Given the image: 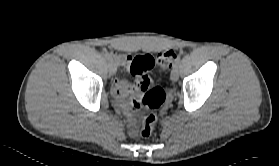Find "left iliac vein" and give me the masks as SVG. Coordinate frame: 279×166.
I'll use <instances>...</instances> for the list:
<instances>
[{
  "label": "left iliac vein",
  "instance_id": "left-iliac-vein-1",
  "mask_svg": "<svg viewBox=\"0 0 279 166\" xmlns=\"http://www.w3.org/2000/svg\"><path fill=\"white\" fill-rule=\"evenodd\" d=\"M171 80L173 82H176L179 78V69L178 66L173 67V70L171 71Z\"/></svg>",
  "mask_w": 279,
  "mask_h": 166
}]
</instances>
